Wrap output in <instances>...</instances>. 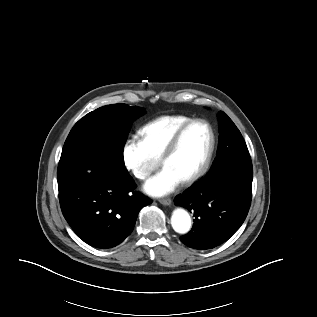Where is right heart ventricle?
I'll list each match as a JSON object with an SVG mask.
<instances>
[{
	"label": "right heart ventricle",
	"mask_w": 317,
	"mask_h": 317,
	"mask_svg": "<svg viewBox=\"0 0 317 317\" xmlns=\"http://www.w3.org/2000/svg\"><path fill=\"white\" fill-rule=\"evenodd\" d=\"M192 118L185 115L161 116L146 125L139 134L149 152L157 159H161L175 133Z\"/></svg>",
	"instance_id": "obj_1"
}]
</instances>
